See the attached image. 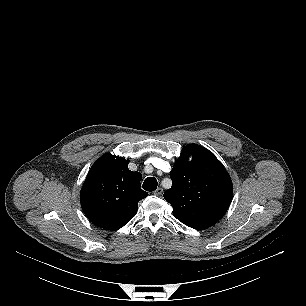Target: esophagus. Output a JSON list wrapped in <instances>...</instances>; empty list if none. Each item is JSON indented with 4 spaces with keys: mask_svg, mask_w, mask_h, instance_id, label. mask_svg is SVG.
I'll list each match as a JSON object with an SVG mask.
<instances>
[{
    "mask_svg": "<svg viewBox=\"0 0 306 306\" xmlns=\"http://www.w3.org/2000/svg\"><path fill=\"white\" fill-rule=\"evenodd\" d=\"M163 193V189L162 188H157L154 192H153V194L154 195H156V196H159V195H161Z\"/></svg>",
    "mask_w": 306,
    "mask_h": 306,
    "instance_id": "34e87169",
    "label": "esophagus"
}]
</instances>
